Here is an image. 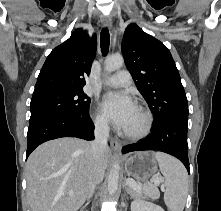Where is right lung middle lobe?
<instances>
[{"label": "right lung middle lobe", "instance_id": "right-lung-middle-lobe-1", "mask_svg": "<svg viewBox=\"0 0 221 211\" xmlns=\"http://www.w3.org/2000/svg\"><path fill=\"white\" fill-rule=\"evenodd\" d=\"M90 99L82 89H45L34 91L30 120L45 114L83 115L89 111Z\"/></svg>", "mask_w": 221, "mask_h": 211}]
</instances>
